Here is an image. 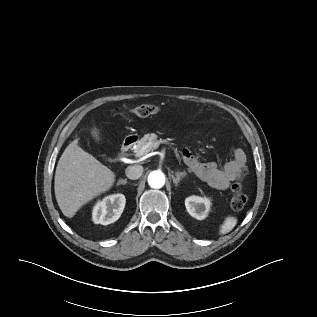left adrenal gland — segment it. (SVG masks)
<instances>
[{
    "label": "left adrenal gland",
    "instance_id": "1",
    "mask_svg": "<svg viewBox=\"0 0 317 317\" xmlns=\"http://www.w3.org/2000/svg\"><path fill=\"white\" fill-rule=\"evenodd\" d=\"M172 176V179H173V183L175 184V186H178V183L180 182V180L186 176V173L185 172H177L175 173V176L174 175H171Z\"/></svg>",
    "mask_w": 317,
    "mask_h": 317
}]
</instances>
